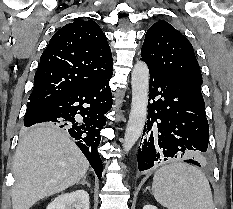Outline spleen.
<instances>
[{
  "label": "spleen",
  "mask_w": 233,
  "mask_h": 209,
  "mask_svg": "<svg viewBox=\"0 0 233 209\" xmlns=\"http://www.w3.org/2000/svg\"><path fill=\"white\" fill-rule=\"evenodd\" d=\"M152 193L167 209H214L208 179L199 169L183 162L159 168L153 177Z\"/></svg>",
  "instance_id": "obj_1"
}]
</instances>
